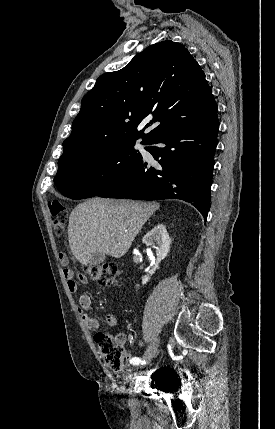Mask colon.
<instances>
[{
    "label": "colon",
    "instance_id": "1",
    "mask_svg": "<svg viewBox=\"0 0 275 429\" xmlns=\"http://www.w3.org/2000/svg\"><path fill=\"white\" fill-rule=\"evenodd\" d=\"M53 229L56 234L61 235L68 222L67 208L58 200L48 203ZM60 262L65 265L67 257L60 254ZM85 275L102 285H114L120 275L119 267L115 263H103L86 267ZM101 357L106 366L112 371L118 372L124 368L129 359V354L124 349L123 339L120 336L97 333L94 336Z\"/></svg>",
    "mask_w": 275,
    "mask_h": 429
}]
</instances>
